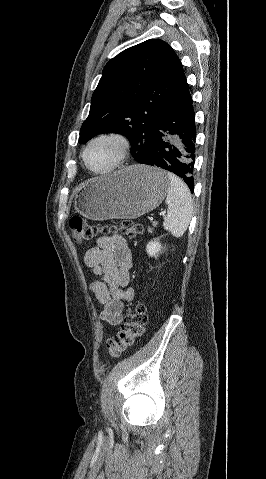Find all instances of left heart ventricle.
<instances>
[{"label": "left heart ventricle", "instance_id": "b2bd125f", "mask_svg": "<svg viewBox=\"0 0 266 479\" xmlns=\"http://www.w3.org/2000/svg\"><path fill=\"white\" fill-rule=\"evenodd\" d=\"M118 154V146L112 141L96 143L88 152V162L97 170H105L113 165Z\"/></svg>", "mask_w": 266, "mask_h": 479}]
</instances>
